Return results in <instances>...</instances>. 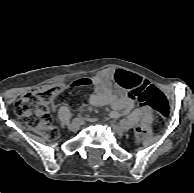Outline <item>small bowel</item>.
<instances>
[{
    "mask_svg": "<svg viewBox=\"0 0 194 193\" xmlns=\"http://www.w3.org/2000/svg\"><path fill=\"white\" fill-rule=\"evenodd\" d=\"M115 75V70L105 69L91 77L93 91L88 96V104L92 106H111L113 110L107 115L111 119L129 116L133 120L142 118L145 122L150 121L152 116L150 108H137L131 96L119 94L117 87L114 85ZM148 86L153 85L144 79L138 80L139 89H145ZM83 110L87 111L88 108L84 107Z\"/></svg>",
    "mask_w": 194,
    "mask_h": 193,
    "instance_id": "small-bowel-1",
    "label": "small bowel"
}]
</instances>
